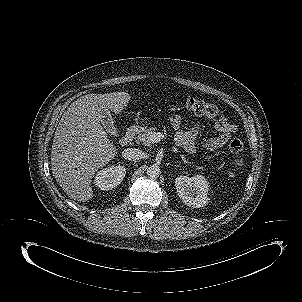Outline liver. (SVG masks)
Returning <instances> with one entry per match:
<instances>
[{
  "label": "liver",
  "mask_w": 302,
  "mask_h": 302,
  "mask_svg": "<svg viewBox=\"0 0 302 302\" xmlns=\"http://www.w3.org/2000/svg\"><path fill=\"white\" fill-rule=\"evenodd\" d=\"M129 100L126 92L87 94L63 114L53 138L51 169L70 198L80 202L92 198V177L117 153L101 125L100 112L107 109L119 114Z\"/></svg>",
  "instance_id": "6515ba94"
}]
</instances>
